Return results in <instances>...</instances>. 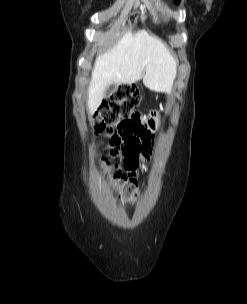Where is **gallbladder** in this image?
Here are the masks:
<instances>
[{
	"mask_svg": "<svg viewBox=\"0 0 247 304\" xmlns=\"http://www.w3.org/2000/svg\"><path fill=\"white\" fill-rule=\"evenodd\" d=\"M115 91V85L114 84H111L109 85L106 89H105V96H110L114 93Z\"/></svg>",
	"mask_w": 247,
	"mask_h": 304,
	"instance_id": "1",
	"label": "gallbladder"
}]
</instances>
